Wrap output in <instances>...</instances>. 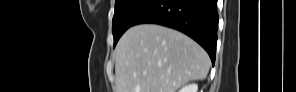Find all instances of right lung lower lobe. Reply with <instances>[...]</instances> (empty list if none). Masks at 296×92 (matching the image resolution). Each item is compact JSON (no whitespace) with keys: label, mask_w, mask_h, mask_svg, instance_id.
Instances as JSON below:
<instances>
[{"label":"right lung lower lobe","mask_w":296,"mask_h":92,"mask_svg":"<svg viewBox=\"0 0 296 92\" xmlns=\"http://www.w3.org/2000/svg\"><path fill=\"white\" fill-rule=\"evenodd\" d=\"M142 23L160 24L187 34L207 51L212 64L215 63L217 0H154L133 25Z\"/></svg>","instance_id":"obj_1"}]
</instances>
